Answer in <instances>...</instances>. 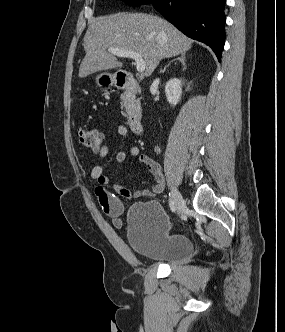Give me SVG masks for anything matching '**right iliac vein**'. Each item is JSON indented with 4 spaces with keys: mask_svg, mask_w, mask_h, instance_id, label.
<instances>
[{
    "mask_svg": "<svg viewBox=\"0 0 285 332\" xmlns=\"http://www.w3.org/2000/svg\"><path fill=\"white\" fill-rule=\"evenodd\" d=\"M172 198L178 214H181L184 211L185 202L180 191L176 187L172 188Z\"/></svg>",
    "mask_w": 285,
    "mask_h": 332,
    "instance_id": "63e3f726",
    "label": "right iliac vein"
}]
</instances>
